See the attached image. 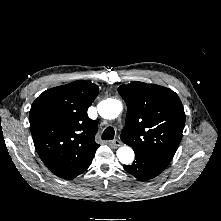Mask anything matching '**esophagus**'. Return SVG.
I'll return each mask as SVG.
<instances>
[{
    "mask_svg": "<svg viewBox=\"0 0 221 221\" xmlns=\"http://www.w3.org/2000/svg\"><path fill=\"white\" fill-rule=\"evenodd\" d=\"M110 144L113 145L114 147H119L122 145V142L118 139H115V140L111 141Z\"/></svg>",
    "mask_w": 221,
    "mask_h": 221,
    "instance_id": "esophagus-1",
    "label": "esophagus"
}]
</instances>
